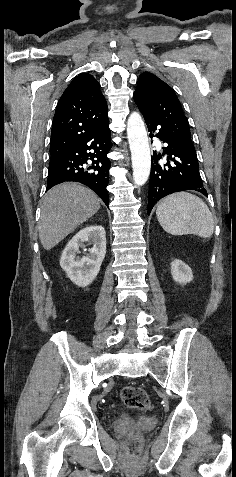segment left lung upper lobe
I'll use <instances>...</instances> for the list:
<instances>
[{
	"mask_svg": "<svg viewBox=\"0 0 236 477\" xmlns=\"http://www.w3.org/2000/svg\"><path fill=\"white\" fill-rule=\"evenodd\" d=\"M134 100L139 110L156 122L170 138L195 151L187 118L175 92L168 84L156 75L144 72L139 76Z\"/></svg>",
	"mask_w": 236,
	"mask_h": 477,
	"instance_id": "5c2ea615",
	"label": "left lung upper lobe"
}]
</instances>
